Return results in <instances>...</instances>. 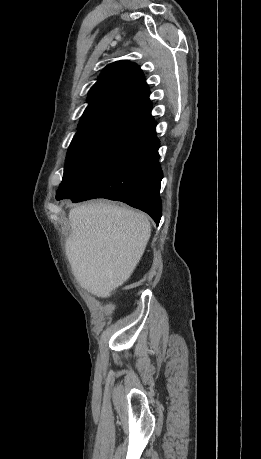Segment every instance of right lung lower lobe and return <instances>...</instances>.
Masks as SVG:
<instances>
[{"label": "right lung lower lobe", "mask_w": 261, "mask_h": 459, "mask_svg": "<svg viewBox=\"0 0 261 459\" xmlns=\"http://www.w3.org/2000/svg\"><path fill=\"white\" fill-rule=\"evenodd\" d=\"M159 141L155 129L130 154L98 177L86 190L72 197L73 202L93 198L118 200L148 213L159 224L162 205Z\"/></svg>", "instance_id": "right-lung-lower-lobe-1"}]
</instances>
